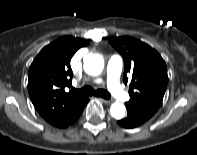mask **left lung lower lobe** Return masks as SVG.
<instances>
[{
    "label": "left lung lower lobe",
    "mask_w": 197,
    "mask_h": 155,
    "mask_svg": "<svg viewBox=\"0 0 197 155\" xmlns=\"http://www.w3.org/2000/svg\"><path fill=\"white\" fill-rule=\"evenodd\" d=\"M148 118L138 113L133 108L127 107V117L118 120L120 126L124 128H135L146 122Z\"/></svg>",
    "instance_id": "1"
}]
</instances>
